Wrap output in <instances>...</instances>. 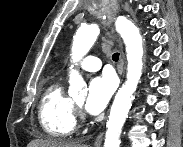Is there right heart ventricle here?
<instances>
[{"label":"right heart ventricle","instance_id":"1","mask_svg":"<svg viewBox=\"0 0 183 147\" xmlns=\"http://www.w3.org/2000/svg\"><path fill=\"white\" fill-rule=\"evenodd\" d=\"M39 120L43 130L55 138L68 137L76 126V108L61 83L50 85L42 96Z\"/></svg>","mask_w":183,"mask_h":147}]
</instances>
